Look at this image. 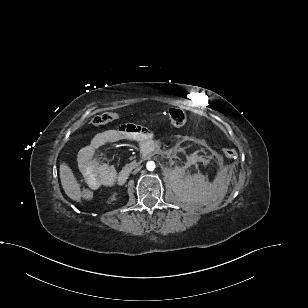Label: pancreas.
Segmentation results:
<instances>
[{
	"instance_id": "pancreas-1",
	"label": "pancreas",
	"mask_w": 308,
	"mask_h": 308,
	"mask_svg": "<svg viewBox=\"0 0 308 308\" xmlns=\"http://www.w3.org/2000/svg\"><path fill=\"white\" fill-rule=\"evenodd\" d=\"M136 165H137V163L135 161H133V162H131L129 164H126L125 168L126 169H133Z\"/></svg>"
}]
</instances>
